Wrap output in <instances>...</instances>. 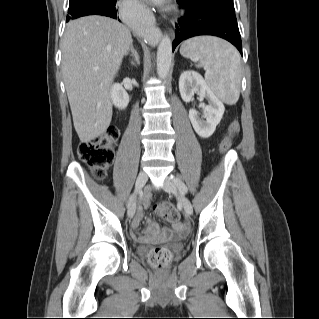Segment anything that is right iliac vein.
<instances>
[{
	"instance_id": "right-iliac-vein-1",
	"label": "right iliac vein",
	"mask_w": 319,
	"mask_h": 319,
	"mask_svg": "<svg viewBox=\"0 0 319 319\" xmlns=\"http://www.w3.org/2000/svg\"><path fill=\"white\" fill-rule=\"evenodd\" d=\"M146 182H147L146 173L140 172L136 180V191H139L140 189H142V187L146 184ZM135 210H136V203H135V200H132L129 204L128 216L133 217V215L135 214Z\"/></svg>"
}]
</instances>
